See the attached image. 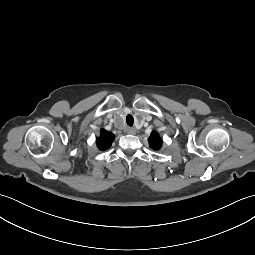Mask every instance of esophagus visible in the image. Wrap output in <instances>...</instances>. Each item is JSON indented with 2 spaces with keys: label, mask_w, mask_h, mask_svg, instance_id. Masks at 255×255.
Listing matches in <instances>:
<instances>
[{
  "label": "esophagus",
  "mask_w": 255,
  "mask_h": 255,
  "mask_svg": "<svg viewBox=\"0 0 255 255\" xmlns=\"http://www.w3.org/2000/svg\"><path fill=\"white\" fill-rule=\"evenodd\" d=\"M126 132H127L128 134H136V129H135V128L129 127V128H127Z\"/></svg>",
  "instance_id": "esophagus-1"
}]
</instances>
